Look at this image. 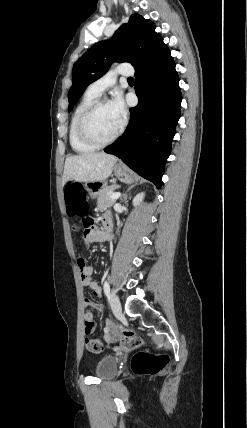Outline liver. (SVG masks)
I'll return each instance as SVG.
<instances>
[{
	"label": "liver",
	"instance_id": "obj_1",
	"mask_svg": "<svg viewBox=\"0 0 247 428\" xmlns=\"http://www.w3.org/2000/svg\"><path fill=\"white\" fill-rule=\"evenodd\" d=\"M117 158L104 152L69 156L65 160L62 182H97L106 180L112 173Z\"/></svg>",
	"mask_w": 247,
	"mask_h": 428
}]
</instances>
